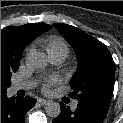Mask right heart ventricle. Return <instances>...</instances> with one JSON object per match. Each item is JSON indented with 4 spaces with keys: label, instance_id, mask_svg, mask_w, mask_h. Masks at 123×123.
Returning <instances> with one entry per match:
<instances>
[{
    "label": "right heart ventricle",
    "instance_id": "e07e8e85",
    "mask_svg": "<svg viewBox=\"0 0 123 123\" xmlns=\"http://www.w3.org/2000/svg\"><path fill=\"white\" fill-rule=\"evenodd\" d=\"M47 50L49 54L55 52H65L66 54H68L69 46L62 38L52 37L47 41Z\"/></svg>",
    "mask_w": 123,
    "mask_h": 123
}]
</instances>
